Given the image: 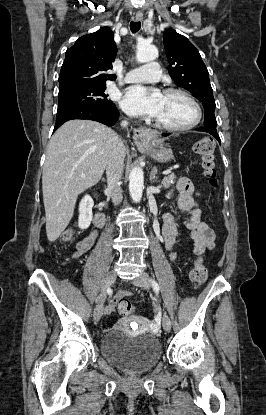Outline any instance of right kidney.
Masks as SVG:
<instances>
[{
	"mask_svg": "<svg viewBox=\"0 0 266 415\" xmlns=\"http://www.w3.org/2000/svg\"><path fill=\"white\" fill-rule=\"evenodd\" d=\"M93 199L89 195H85L79 204L78 225L80 229H87L92 221Z\"/></svg>",
	"mask_w": 266,
	"mask_h": 415,
	"instance_id": "right-kidney-1",
	"label": "right kidney"
}]
</instances>
